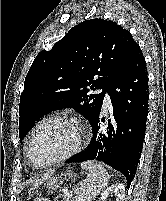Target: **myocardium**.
I'll return each mask as SVG.
<instances>
[{
    "instance_id": "f54148a6",
    "label": "myocardium",
    "mask_w": 166,
    "mask_h": 201,
    "mask_svg": "<svg viewBox=\"0 0 166 201\" xmlns=\"http://www.w3.org/2000/svg\"><path fill=\"white\" fill-rule=\"evenodd\" d=\"M53 121H65V122H70L72 124H74L77 129H78V140L76 145L67 153L56 157L48 162H46L45 164L42 165H37L34 163L33 159H32V145H33V141L35 139V136L37 135L38 131L47 123L53 122ZM86 139V127L84 126L83 123H81L80 121H78L77 119L70 117V116H66V115H54L48 118L43 119L33 130L30 139L28 141V146H27V156H28V160L30 162L31 165L35 166V167H39V168H44V167H48L57 163H60L62 161H65L71 157H73L74 155H76L83 147V144L85 142Z\"/></svg>"
}]
</instances>
